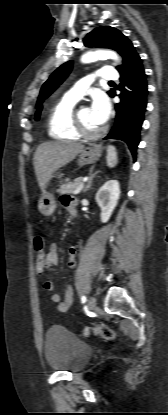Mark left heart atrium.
<instances>
[{
  "label": "left heart atrium",
  "instance_id": "obj_1",
  "mask_svg": "<svg viewBox=\"0 0 168 415\" xmlns=\"http://www.w3.org/2000/svg\"><path fill=\"white\" fill-rule=\"evenodd\" d=\"M90 111L93 120L99 124H104L110 114V103L106 95L102 92L94 93L92 97V103L90 106Z\"/></svg>",
  "mask_w": 168,
  "mask_h": 415
}]
</instances>
